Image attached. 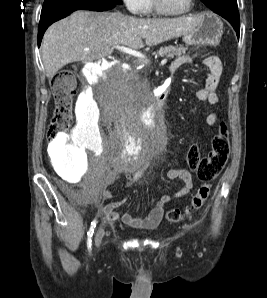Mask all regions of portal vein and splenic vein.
Instances as JSON below:
<instances>
[{"mask_svg":"<svg viewBox=\"0 0 267 298\" xmlns=\"http://www.w3.org/2000/svg\"><path fill=\"white\" fill-rule=\"evenodd\" d=\"M113 48L119 50V51H122L126 54H129V55H132V56H135V57H138L140 59H146L145 55L136 51L135 49H132V48H129V47H125V46H114ZM167 60L164 59L162 62H166Z\"/></svg>","mask_w":267,"mask_h":298,"instance_id":"18ae733b","label":"portal vein and splenic vein"}]
</instances>
